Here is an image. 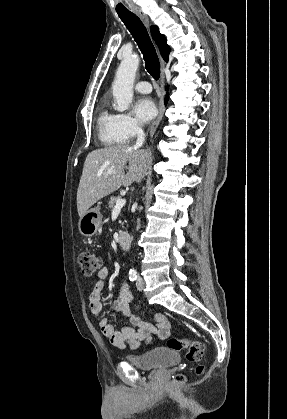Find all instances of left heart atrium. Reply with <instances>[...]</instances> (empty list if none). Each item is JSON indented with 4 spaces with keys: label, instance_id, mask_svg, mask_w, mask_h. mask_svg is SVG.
<instances>
[{
    "label": "left heart atrium",
    "instance_id": "1",
    "mask_svg": "<svg viewBox=\"0 0 287 419\" xmlns=\"http://www.w3.org/2000/svg\"><path fill=\"white\" fill-rule=\"evenodd\" d=\"M134 113L141 122L150 121L156 114V108L153 101L148 97L138 99L134 106Z\"/></svg>",
    "mask_w": 287,
    "mask_h": 419
}]
</instances>
